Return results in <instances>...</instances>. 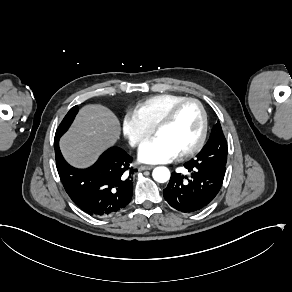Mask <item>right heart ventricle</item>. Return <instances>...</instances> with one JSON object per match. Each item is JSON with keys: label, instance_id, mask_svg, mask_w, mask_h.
Masks as SVG:
<instances>
[{"label": "right heart ventricle", "instance_id": "obj_1", "mask_svg": "<svg viewBox=\"0 0 292 292\" xmlns=\"http://www.w3.org/2000/svg\"><path fill=\"white\" fill-rule=\"evenodd\" d=\"M183 98L186 96L177 93L157 94L139 101L134 105L133 110L150 128H154L167 108Z\"/></svg>", "mask_w": 292, "mask_h": 292}]
</instances>
